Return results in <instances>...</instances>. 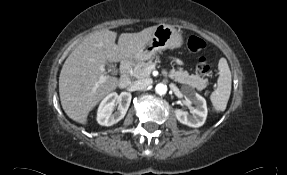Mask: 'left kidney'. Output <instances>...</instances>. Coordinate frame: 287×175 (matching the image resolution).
Returning a JSON list of instances; mask_svg holds the SVG:
<instances>
[{"mask_svg": "<svg viewBox=\"0 0 287 175\" xmlns=\"http://www.w3.org/2000/svg\"><path fill=\"white\" fill-rule=\"evenodd\" d=\"M185 99L189 104L195 105V107L191 109L192 115L186 111L176 109L175 115L177 120L189 127L197 128L202 126L205 123L208 113L206 100L194 92L187 93Z\"/></svg>", "mask_w": 287, "mask_h": 175, "instance_id": "1", "label": "left kidney"}]
</instances>
